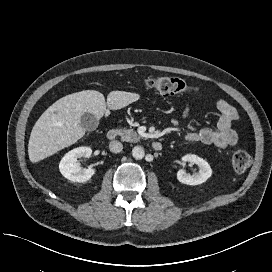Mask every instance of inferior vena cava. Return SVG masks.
Here are the masks:
<instances>
[{"mask_svg": "<svg viewBox=\"0 0 272 272\" xmlns=\"http://www.w3.org/2000/svg\"><path fill=\"white\" fill-rule=\"evenodd\" d=\"M109 149L113 153H119L123 149V145L121 142L114 140L109 143Z\"/></svg>", "mask_w": 272, "mask_h": 272, "instance_id": "obj_1", "label": "inferior vena cava"}]
</instances>
